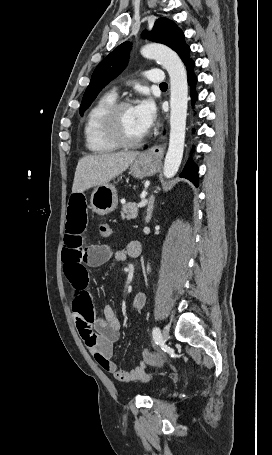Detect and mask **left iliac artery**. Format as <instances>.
Here are the masks:
<instances>
[{"instance_id":"1","label":"left iliac artery","mask_w":272,"mask_h":455,"mask_svg":"<svg viewBox=\"0 0 272 455\" xmlns=\"http://www.w3.org/2000/svg\"><path fill=\"white\" fill-rule=\"evenodd\" d=\"M152 334H153L154 341L157 342V341H159L161 339V332H160V329L158 327H154L153 328Z\"/></svg>"}]
</instances>
